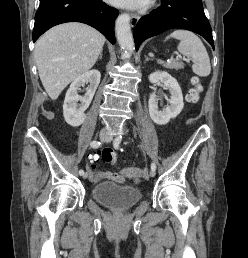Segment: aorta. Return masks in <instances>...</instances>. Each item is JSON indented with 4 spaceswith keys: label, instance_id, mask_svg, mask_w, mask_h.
I'll return each mask as SVG.
<instances>
[{
    "label": "aorta",
    "instance_id": "obj_1",
    "mask_svg": "<svg viewBox=\"0 0 248 258\" xmlns=\"http://www.w3.org/2000/svg\"><path fill=\"white\" fill-rule=\"evenodd\" d=\"M115 31L120 47L127 52H132L134 50V40L131 33L129 14L124 13L118 16Z\"/></svg>",
    "mask_w": 248,
    "mask_h": 258
}]
</instances>
